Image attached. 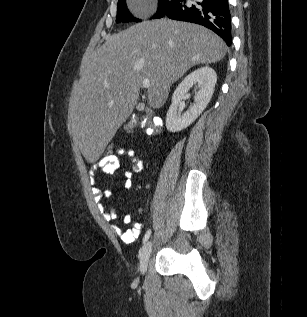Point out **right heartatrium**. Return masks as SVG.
<instances>
[{
    "instance_id": "1",
    "label": "right heart atrium",
    "mask_w": 307,
    "mask_h": 317,
    "mask_svg": "<svg viewBox=\"0 0 307 317\" xmlns=\"http://www.w3.org/2000/svg\"><path fill=\"white\" fill-rule=\"evenodd\" d=\"M136 1H141V0H136ZM152 11H153V8L149 5H145V6L141 7L139 10L140 14H142L144 16L149 15Z\"/></svg>"
}]
</instances>
